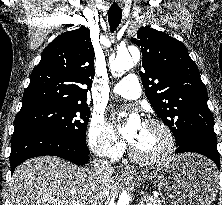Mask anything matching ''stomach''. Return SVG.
I'll return each instance as SVG.
<instances>
[{"label":"stomach","mask_w":222,"mask_h":205,"mask_svg":"<svg viewBox=\"0 0 222 205\" xmlns=\"http://www.w3.org/2000/svg\"><path fill=\"white\" fill-rule=\"evenodd\" d=\"M153 180L165 205H210L217 193V171L195 154L173 156L134 180Z\"/></svg>","instance_id":"1"}]
</instances>
